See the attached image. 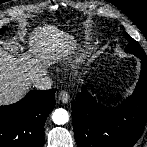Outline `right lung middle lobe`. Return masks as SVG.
Here are the masks:
<instances>
[{
	"instance_id": "1",
	"label": "right lung middle lobe",
	"mask_w": 147,
	"mask_h": 147,
	"mask_svg": "<svg viewBox=\"0 0 147 147\" xmlns=\"http://www.w3.org/2000/svg\"><path fill=\"white\" fill-rule=\"evenodd\" d=\"M5 31V29H0V34H2Z\"/></svg>"
}]
</instances>
